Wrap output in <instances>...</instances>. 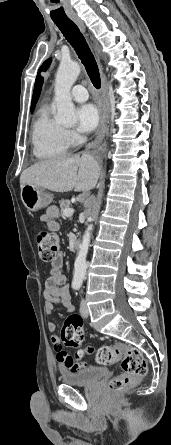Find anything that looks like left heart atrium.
<instances>
[{"mask_svg":"<svg viewBox=\"0 0 171 445\" xmlns=\"http://www.w3.org/2000/svg\"><path fill=\"white\" fill-rule=\"evenodd\" d=\"M78 130L90 132L99 123V112L93 104H84L77 109Z\"/></svg>","mask_w":171,"mask_h":445,"instance_id":"39dd6f15","label":"left heart atrium"}]
</instances>
